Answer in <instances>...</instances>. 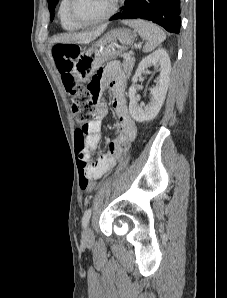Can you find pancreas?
<instances>
[{"label": "pancreas", "instance_id": "1", "mask_svg": "<svg viewBox=\"0 0 227 298\" xmlns=\"http://www.w3.org/2000/svg\"><path fill=\"white\" fill-rule=\"evenodd\" d=\"M134 58H129V59H124L123 63H122V66H123V70L124 72L129 76L132 69H133V66H134Z\"/></svg>", "mask_w": 227, "mask_h": 298}]
</instances>
